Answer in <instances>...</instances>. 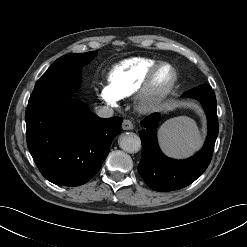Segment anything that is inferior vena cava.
<instances>
[{
    "mask_svg": "<svg viewBox=\"0 0 247 247\" xmlns=\"http://www.w3.org/2000/svg\"><path fill=\"white\" fill-rule=\"evenodd\" d=\"M95 113L102 118H109L113 116V109L108 106H98L95 109Z\"/></svg>",
    "mask_w": 247,
    "mask_h": 247,
    "instance_id": "inferior-vena-cava-1",
    "label": "inferior vena cava"
}]
</instances>
